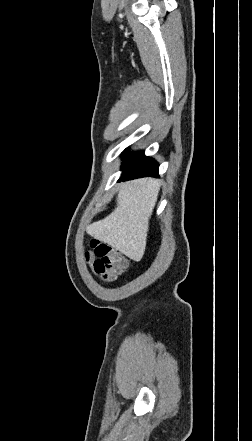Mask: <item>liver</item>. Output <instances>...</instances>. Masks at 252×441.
Returning <instances> with one entry per match:
<instances>
[{"mask_svg":"<svg viewBox=\"0 0 252 441\" xmlns=\"http://www.w3.org/2000/svg\"><path fill=\"white\" fill-rule=\"evenodd\" d=\"M160 185V181L153 178L126 182L118 192L114 211L88 226L87 232L128 258L140 261L145 252L149 220Z\"/></svg>","mask_w":252,"mask_h":441,"instance_id":"1","label":"liver"}]
</instances>
